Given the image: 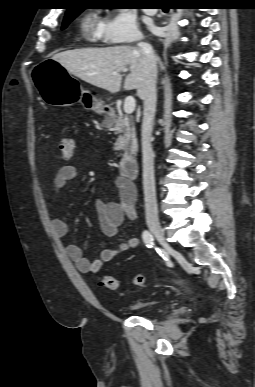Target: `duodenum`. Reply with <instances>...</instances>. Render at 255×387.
Returning <instances> with one entry per match:
<instances>
[{
	"label": "duodenum",
	"instance_id": "duodenum-1",
	"mask_svg": "<svg viewBox=\"0 0 255 387\" xmlns=\"http://www.w3.org/2000/svg\"><path fill=\"white\" fill-rule=\"evenodd\" d=\"M120 172L124 178L134 180L139 174V162L134 156H125L121 159Z\"/></svg>",
	"mask_w": 255,
	"mask_h": 387
}]
</instances>
